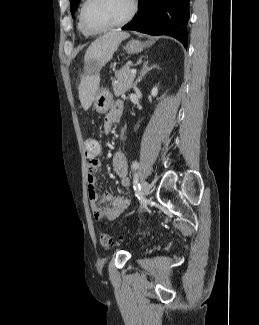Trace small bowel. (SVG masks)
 Here are the masks:
<instances>
[{
    "label": "small bowel",
    "instance_id": "1",
    "mask_svg": "<svg viewBox=\"0 0 259 325\" xmlns=\"http://www.w3.org/2000/svg\"><path fill=\"white\" fill-rule=\"evenodd\" d=\"M123 112V102L118 100L115 101L110 109V111L105 116L104 120V131L109 133L112 125L119 122ZM102 152V145L98 152L94 156H87L88 160V196L90 203L95 211L96 219L99 220V214H101L105 219L113 220L119 217L130 205V198L126 195L114 196L110 192H104L102 195L99 194V190L96 184V173L101 167V162L99 160V155ZM112 167L114 173L120 179V184L123 188H128L130 186V180L127 176L128 165L127 159L124 153L116 152L112 157ZM108 204V207L101 210L99 208L100 204Z\"/></svg>",
    "mask_w": 259,
    "mask_h": 325
}]
</instances>
